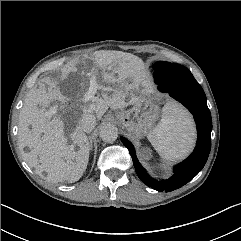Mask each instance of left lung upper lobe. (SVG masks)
I'll list each match as a JSON object with an SVG mask.
<instances>
[{
  "label": "left lung upper lobe",
  "instance_id": "5c2ea615",
  "mask_svg": "<svg viewBox=\"0 0 241 241\" xmlns=\"http://www.w3.org/2000/svg\"><path fill=\"white\" fill-rule=\"evenodd\" d=\"M153 68L171 88H178L186 84L197 82L191 72L180 64L159 61L153 65Z\"/></svg>",
  "mask_w": 241,
  "mask_h": 241
}]
</instances>
